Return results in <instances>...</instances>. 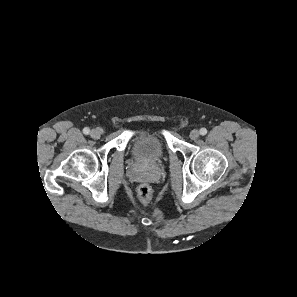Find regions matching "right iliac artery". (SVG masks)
<instances>
[{
	"instance_id": "1",
	"label": "right iliac artery",
	"mask_w": 297,
	"mask_h": 297,
	"mask_svg": "<svg viewBox=\"0 0 297 297\" xmlns=\"http://www.w3.org/2000/svg\"><path fill=\"white\" fill-rule=\"evenodd\" d=\"M89 132H90V129L88 127H86V128L83 129V133L85 135L89 134Z\"/></svg>"
}]
</instances>
